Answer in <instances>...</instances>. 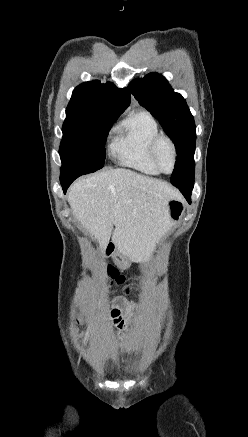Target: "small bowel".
Listing matches in <instances>:
<instances>
[{
  "label": "small bowel",
  "instance_id": "small-bowel-1",
  "mask_svg": "<svg viewBox=\"0 0 248 437\" xmlns=\"http://www.w3.org/2000/svg\"><path fill=\"white\" fill-rule=\"evenodd\" d=\"M113 300L115 302L114 306L110 305L107 308V311L111 314V318H113L114 324L119 329H124L126 326V322L121 317L125 315V310L123 309V307H126L127 305L126 297L124 294H115Z\"/></svg>",
  "mask_w": 248,
  "mask_h": 437
}]
</instances>
